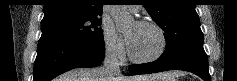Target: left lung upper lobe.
<instances>
[{
    "label": "left lung upper lobe",
    "mask_w": 237,
    "mask_h": 81,
    "mask_svg": "<svg viewBox=\"0 0 237 81\" xmlns=\"http://www.w3.org/2000/svg\"><path fill=\"white\" fill-rule=\"evenodd\" d=\"M144 7L165 32L163 57L172 58L190 45L203 43L194 0H147Z\"/></svg>",
    "instance_id": "5c2ea615"
}]
</instances>
